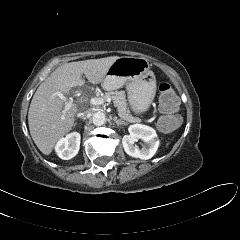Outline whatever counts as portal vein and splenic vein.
<instances>
[{"label": "portal vein and splenic vein", "mask_w": 240, "mask_h": 240, "mask_svg": "<svg viewBox=\"0 0 240 240\" xmlns=\"http://www.w3.org/2000/svg\"><path fill=\"white\" fill-rule=\"evenodd\" d=\"M56 95L60 97V99H62L64 102H66L64 112L72 106L73 104L72 99H67L61 92H56ZM107 101L110 102V99H108ZM89 102L92 105H101L105 103V100L102 97H93L89 100Z\"/></svg>", "instance_id": "obj_1"}]
</instances>
